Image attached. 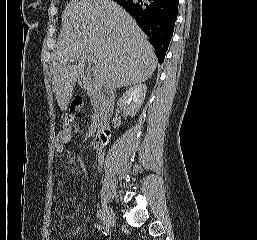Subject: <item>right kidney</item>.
<instances>
[{
  "mask_svg": "<svg viewBox=\"0 0 257 240\" xmlns=\"http://www.w3.org/2000/svg\"><path fill=\"white\" fill-rule=\"evenodd\" d=\"M146 91L145 84L134 85L121 96L117 105L131 117H134L144 102Z\"/></svg>",
  "mask_w": 257,
  "mask_h": 240,
  "instance_id": "right-kidney-1",
  "label": "right kidney"
}]
</instances>
